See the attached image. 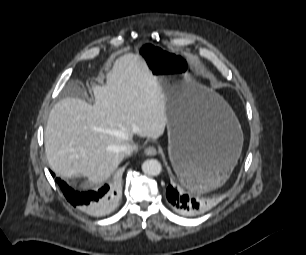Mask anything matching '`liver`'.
I'll return each instance as SVG.
<instances>
[{
	"label": "liver",
	"mask_w": 306,
	"mask_h": 255,
	"mask_svg": "<svg viewBox=\"0 0 306 255\" xmlns=\"http://www.w3.org/2000/svg\"><path fill=\"white\" fill-rule=\"evenodd\" d=\"M106 85H93L94 104L67 97L52 108L45 128L50 168L63 177L84 176V188L107 180L133 136L157 139L167 125L165 97L138 54L114 61Z\"/></svg>",
	"instance_id": "1"
}]
</instances>
